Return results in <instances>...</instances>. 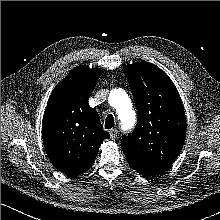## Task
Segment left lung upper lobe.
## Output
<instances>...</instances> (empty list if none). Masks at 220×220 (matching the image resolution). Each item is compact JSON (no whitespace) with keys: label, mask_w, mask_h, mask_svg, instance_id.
Instances as JSON below:
<instances>
[{"label":"left lung upper lobe","mask_w":220,"mask_h":220,"mask_svg":"<svg viewBox=\"0 0 220 220\" xmlns=\"http://www.w3.org/2000/svg\"><path fill=\"white\" fill-rule=\"evenodd\" d=\"M138 110L135 130L121 144L129 165L145 176L167 170L179 155L186 136L180 95L169 76L148 62L124 66Z\"/></svg>","instance_id":"left-lung-upper-lobe-1"}]
</instances>
